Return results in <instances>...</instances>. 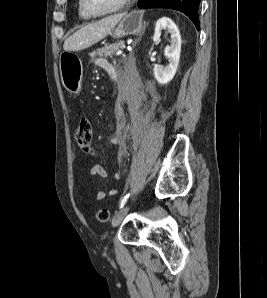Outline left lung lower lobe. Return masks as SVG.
<instances>
[{
    "label": "left lung lower lobe",
    "mask_w": 267,
    "mask_h": 298,
    "mask_svg": "<svg viewBox=\"0 0 267 298\" xmlns=\"http://www.w3.org/2000/svg\"><path fill=\"white\" fill-rule=\"evenodd\" d=\"M200 0H138L141 9L168 8L175 9L186 14L199 30L198 7Z\"/></svg>",
    "instance_id": "0a47b994"
}]
</instances>
